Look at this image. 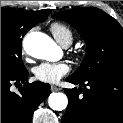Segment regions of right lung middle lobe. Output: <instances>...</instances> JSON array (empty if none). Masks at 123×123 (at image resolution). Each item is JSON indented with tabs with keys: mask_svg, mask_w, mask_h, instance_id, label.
Masks as SVG:
<instances>
[{
	"mask_svg": "<svg viewBox=\"0 0 123 123\" xmlns=\"http://www.w3.org/2000/svg\"><path fill=\"white\" fill-rule=\"evenodd\" d=\"M41 20L20 17L13 9H1V76L26 71L22 63V38Z\"/></svg>",
	"mask_w": 123,
	"mask_h": 123,
	"instance_id": "dd1d6c3e",
	"label": "right lung middle lobe"
}]
</instances>
